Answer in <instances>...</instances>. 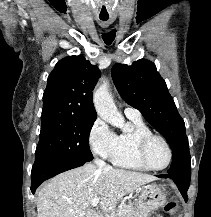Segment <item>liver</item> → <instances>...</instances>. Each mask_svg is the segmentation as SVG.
Returning a JSON list of instances; mask_svg holds the SVG:
<instances>
[{
  "instance_id": "liver-1",
  "label": "liver",
  "mask_w": 211,
  "mask_h": 217,
  "mask_svg": "<svg viewBox=\"0 0 211 217\" xmlns=\"http://www.w3.org/2000/svg\"><path fill=\"white\" fill-rule=\"evenodd\" d=\"M155 180L147 174L86 164L57 175L39 190L38 217H100L91 205L94 198L108 213L123 196Z\"/></svg>"
}]
</instances>
